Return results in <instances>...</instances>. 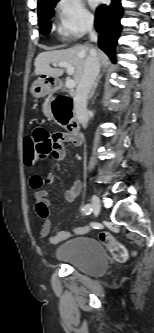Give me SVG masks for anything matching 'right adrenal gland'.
Segmentation results:
<instances>
[{
	"instance_id": "obj_1",
	"label": "right adrenal gland",
	"mask_w": 154,
	"mask_h": 333,
	"mask_svg": "<svg viewBox=\"0 0 154 333\" xmlns=\"http://www.w3.org/2000/svg\"><path fill=\"white\" fill-rule=\"evenodd\" d=\"M101 77H102V75H99V76L97 77V79H96V81H95V84H94V86H93V88H92V90H91V92H90L89 99L93 97V95H94V93H95V90H96V87H97L98 82H99V80L101 79Z\"/></svg>"
}]
</instances>
